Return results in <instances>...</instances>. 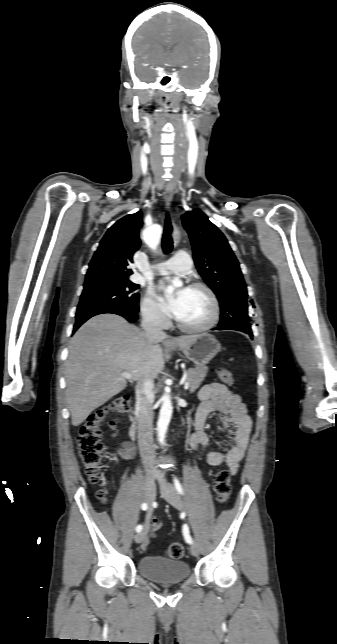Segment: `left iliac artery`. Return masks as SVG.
<instances>
[{"mask_svg":"<svg viewBox=\"0 0 337 644\" xmlns=\"http://www.w3.org/2000/svg\"><path fill=\"white\" fill-rule=\"evenodd\" d=\"M174 484H175V487H176V490L178 491V493L183 494L182 486H181V484H180V482L178 481L177 478L174 479ZM182 532H183V536H184L186 542L189 543V544H192L193 540H192V538L190 536L189 527H188L187 524L183 525Z\"/></svg>","mask_w":337,"mask_h":644,"instance_id":"1","label":"left iliac artery"}]
</instances>
